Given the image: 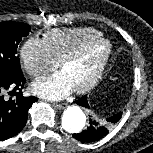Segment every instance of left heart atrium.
<instances>
[{"mask_svg": "<svg viewBox=\"0 0 153 153\" xmlns=\"http://www.w3.org/2000/svg\"><path fill=\"white\" fill-rule=\"evenodd\" d=\"M35 94L49 100H60L74 89L63 71L56 72L49 77L40 79L32 85Z\"/></svg>", "mask_w": 153, "mask_h": 153, "instance_id": "obj_1", "label": "left heart atrium"}]
</instances>
